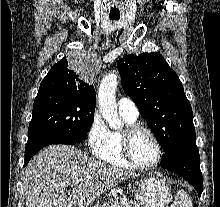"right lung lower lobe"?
Segmentation results:
<instances>
[{
    "instance_id": "right-lung-lower-lobe-1",
    "label": "right lung lower lobe",
    "mask_w": 220,
    "mask_h": 207,
    "mask_svg": "<svg viewBox=\"0 0 220 207\" xmlns=\"http://www.w3.org/2000/svg\"><path fill=\"white\" fill-rule=\"evenodd\" d=\"M83 139H68L66 141V143L64 144H76L78 142H80ZM60 141L56 140V139H52V140H39V141H35L33 143H30L26 145V153H25V164L24 166L29 162V160L31 159V157L33 155H35L40 149H42L43 147L50 145V144H63V143H58Z\"/></svg>"
}]
</instances>
